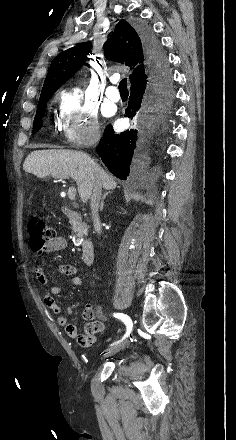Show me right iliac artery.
I'll use <instances>...</instances> for the list:
<instances>
[{
    "instance_id": "82829eb1",
    "label": "right iliac artery",
    "mask_w": 236,
    "mask_h": 440,
    "mask_svg": "<svg viewBox=\"0 0 236 440\" xmlns=\"http://www.w3.org/2000/svg\"><path fill=\"white\" fill-rule=\"evenodd\" d=\"M113 315H114V317L120 319L121 321H123L125 323V325L127 327L126 334L123 337V339H125L132 331V326H133L132 321L129 316H127L126 314H123V313H114Z\"/></svg>"
}]
</instances>
